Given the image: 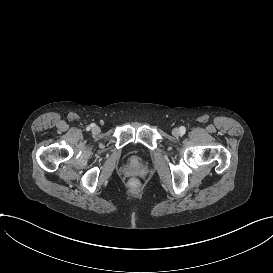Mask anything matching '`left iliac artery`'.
<instances>
[{
  "instance_id": "left-iliac-artery-1",
  "label": "left iliac artery",
  "mask_w": 273,
  "mask_h": 273,
  "mask_svg": "<svg viewBox=\"0 0 273 273\" xmlns=\"http://www.w3.org/2000/svg\"><path fill=\"white\" fill-rule=\"evenodd\" d=\"M180 131H181V134H184L185 131H186V128H185L184 126H181V127H180Z\"/></svg>"
}]
</instances>
